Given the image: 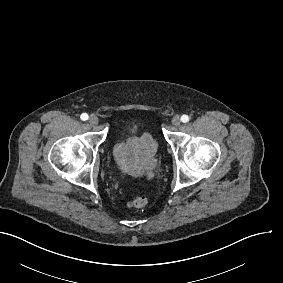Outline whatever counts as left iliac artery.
<instances>
[{
    "instance_id": "obj_1",
    "label": "left iliac artery",
    "mask_w": 283,
    "mask_h": 283,
    "mask_svg": "<svg viewBox=\"0 0 283 283\" xmlns=\"http://www.w3.org/2000/svg\"><path fill=\"white\" fill-rule=\"evenodd\" d=\"M181 121H182L183 123L188 122V121H189V117H188V115H182V117H181Z\"/></svg>"
}]
</instances>
